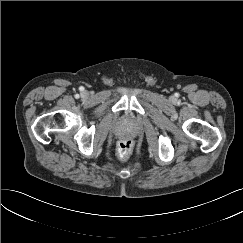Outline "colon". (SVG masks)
<instances>
[{"mask_svg":"<svg viewBox=\"0 0 243 243\" xmlns=\"http://www.w3.org/2000/svg\"><path fill=\"white\" fill-rule=\"evenodd\" d=\"M132 150V142L130 140H122L118 144V154L121 158H126Z\"/></svg>","mask_w":243,"mask_h":243,"instance_id":"1","label":"colon"}]
</instances>
